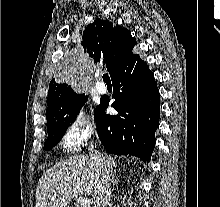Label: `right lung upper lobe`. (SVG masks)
I'll return each instance as SVG.
<instances>
[{"label": "right lung upper lobe", "instance_id": "cb5924a9", "mask_svg": "<svg viewBox=\"0 0 220 207\" xmlns=\"http://www.w3.org/2000/svg\"><path fill=\"white\" fill-rule=\"evenodd\" d=\"M136 39L126 28L109 20L96 19L83 32L82 46L88 58L103 63L112 78L115 70L130 56ZM76 93L70 85L57 83L52 79L48 91L46 117L55 112L67 99Z\"/></svg>", "mask_w": 220, "mask_h": 207}]
</instances>
